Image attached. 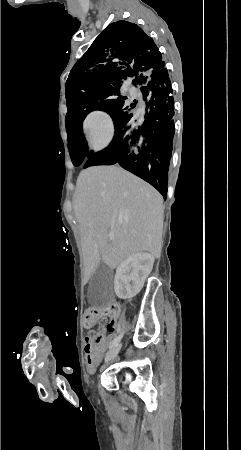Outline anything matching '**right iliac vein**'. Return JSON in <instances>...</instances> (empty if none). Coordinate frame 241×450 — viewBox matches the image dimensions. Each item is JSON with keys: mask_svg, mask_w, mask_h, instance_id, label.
<instances>
[{"mask_svg": "<svg viewBox=\"0 0 241 450\" xmlns=\"http://www.w3.org/2000/svg\"><path fill=\"white\" fill-rule=\"evenodd\" d=\"M120 349H121V344H118V345L114 346V347H113L111 350H109L108 353L106 354V356H105V361L108 362V361H110L111 359L115 358V357L118 355Z\"/></svg>", "mask_w": 241, "mask_h": 450, "instance_id": "1", "label": "right iliac vein"}]
</instances>
